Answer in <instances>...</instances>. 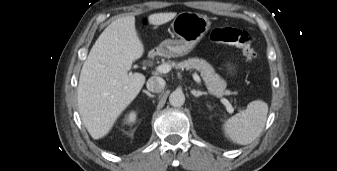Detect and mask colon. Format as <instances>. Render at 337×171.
<instances>
[{"mask_svg": "<svg viewBox=\"0 0 337 171\" xmlns=\"http://www.w3.org/2000/svg\"><path fill=\"white\" fill-rule=\"evenodd\" d=\"M209 38L216 43L239 47L250 61L256 59V52L252 45V37L246 30L234 27L215 28L210 31Z\"/></svg>", "mask_w": 337, "mask_h": 171, "instance_id": "1", "label": "colon"}]
</instances>
